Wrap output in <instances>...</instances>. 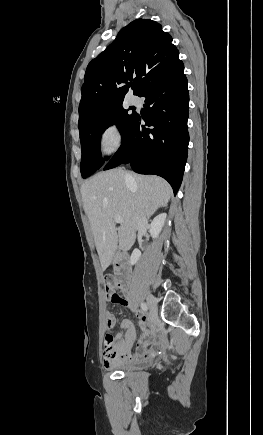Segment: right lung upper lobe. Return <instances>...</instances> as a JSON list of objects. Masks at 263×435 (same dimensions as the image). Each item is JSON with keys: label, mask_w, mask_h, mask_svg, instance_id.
<instances>
[{"label": "right lung upper lobe", "mask_w": 263, "mask_h": 435, "mask_svg": "<svg viewBox=\"0 0 263 435\" xmlns=\"http://www.w3.org/2000/svg\"><path fill=\"white\" fill-rule=\"evenodd\" d=\"M180 62L172 37L160 24L137 19L87 66L79 105V128L111 106L121 103L129 89L142 95Z\"/></svg>", "instance_id": "obj_1"}]
</instances>
